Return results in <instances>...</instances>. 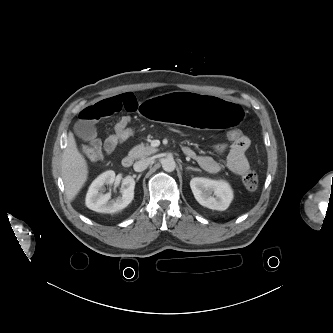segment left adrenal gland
Listing matches in <instances>:
<instances>
[{
	"label": "left adrenal gland",
	"instance_id": "1",
	"mask_svg": "<svg viewBox=\"0 0 333 333\" xmlns=\"http://www.w3.org/2000/svg\"><path fill=\"white\" fill-rule=\"evenodd\" d=\"M186 169H187V170H194V171L198 170V169L193 168V167H190V166H189V167H186Z\"/></svg>",
	"mask_w": 333,
	"mask_h": 333
}]
</instances>
